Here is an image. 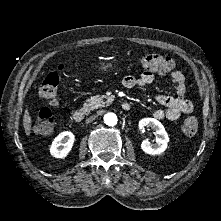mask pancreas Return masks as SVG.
Segmentation results:
<instances>
[{"label":"pancreas","instance_id":"obj_1","mask_svg":"<svg viewBox=\"0 0 221 221\" xmlns=\"http://www.w3.org/2000/svg\"><path fill=\"white\" fill-rule=\"evenodd\" d=\"M113 98L106 95H96L86 100L83 107L86 111H91L100 107H103L105 104H110Z\"/></svg>","mask_w":221,"mask_h":221}]
</instances>
